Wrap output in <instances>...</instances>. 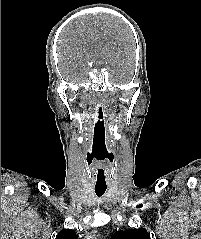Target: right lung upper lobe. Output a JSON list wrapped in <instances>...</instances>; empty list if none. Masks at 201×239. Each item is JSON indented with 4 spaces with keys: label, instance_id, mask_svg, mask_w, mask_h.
<instances>
[{
    "label": "right lung upper lobe",
    "instance_id": "obj_1",
    "mask_svg": "<svg viewBox=\"0 0 201 239\" xmlns=\"http://www.w3.org/2000/svg\"><path fill=\"white\" fill-rule=\"evenodd\" d=\"M56 239H77V236L74 230L63 229L58 233Z\"/></svg>",
    "mask_w": 201,
    "mask_h": 239
}]
</instances>
